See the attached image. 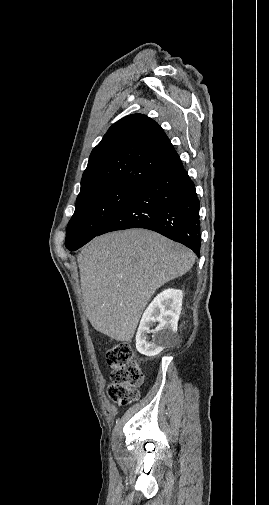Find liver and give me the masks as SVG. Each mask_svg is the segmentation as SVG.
<instances>
[{
    "instance_id": "liver-1",
    "label": "liver",
    "mask_w": 269,
    "mask_h": 505,
    "mask_svg": "<svg viewBox=\"0 0 269 505\" xmlns=\"http://www.w3.org/2000/svg\"><path fill=\"white\" fill-rule=\"evenodd\" d=\"M85 313L95 330L131 341L151 296L188 272L195 254L145 229L94 238L77 256Z\"/></svg>"
}]
</instances>
